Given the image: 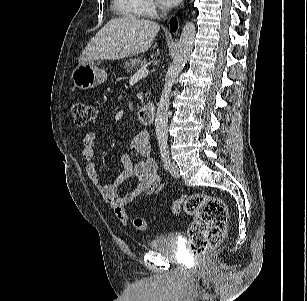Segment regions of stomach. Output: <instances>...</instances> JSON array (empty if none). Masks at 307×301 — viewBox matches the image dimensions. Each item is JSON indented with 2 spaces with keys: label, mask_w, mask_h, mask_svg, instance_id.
<instances>
[{
  "label": "stomach",
  "mask_w": 307,
  "mask_h": 301,
  "mask_svg": "<svg viewBox=\"0 0 307 301\" xmlns=\"http://www.w3.org/2000/svg\"><path fill=\"white\" fill-rule=\"evenodd\" d=\"M71 77L75 87L82 90H88L105 82L107 79V73L92 61L89 63L79 64L74 69Z\"/></svg>",
  "instance_id": "1"
}]
</instances>
